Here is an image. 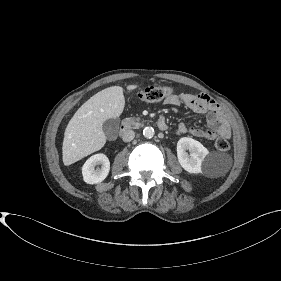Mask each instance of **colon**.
Segmentation results:
<instances>
[{
    "label": "colon",
    "mask_w": 281,
    "mask_h": 281,
    "mask_svg": "<svg viewBox=\"0 0 281 281\" xmlns=\"http://www.w3.org/2000/svg\"><path fill=\"white\" fill-rule=\"evenodd\" d=\"M169 93V88L152 86L141 90L137 94V98L145 102H157L163 99V97ZM215 147L219 151H227L230 148V143L226 138H218L215 141Z\"/></svg>",
    "instance_id": "colon-1"
}]
</instances>
